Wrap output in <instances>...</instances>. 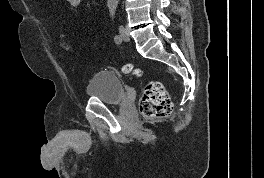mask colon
Segmentation results:
<instances>
[{"mask_svg": "<svg viewBox=\"0 0 264 178\" xmlns=\"http://www.w3.org/2000/svg\"><path fill=\"white\" fill-rule=\"evenodd\" d=\"M61 45L67 51L71 49L70 45L65 41L63 34H61ZM122 70L124 73L132 76H139L141 74V70L132 64L124 65ZM172 108L171 99L164 85L157 80L148 82L139 102L141 114L150 119L164 118L171 113Z\"/></svg>", "mask_w": 264, "mask_h": 178, "instance_id": "1", "label": "colon"}]
</instances>
